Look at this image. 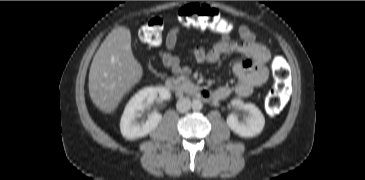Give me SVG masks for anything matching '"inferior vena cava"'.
I'll return each mask as SVG.
<instances>
[{"label": "inferior vena cava", "mask_w": 365, "mask_h": 180, "mask_svg": "<svg viewBox=\"0 0 365 180\" xmlns=\"http://www.w3.org/2000/svg\"><path fill=\"white\" fill-rule=\"evenodd\" d=\"M191 101L189 98H180L177 101L176 108L179 112H187L191 108Z\"/></svg>", "instance_id": "inferior-vena-cava-1"}]
</instances>
